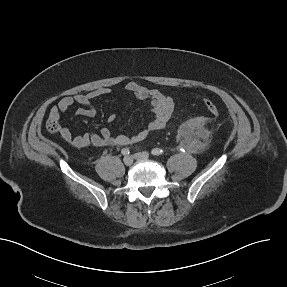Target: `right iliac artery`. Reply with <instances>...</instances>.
<instances>
[{
    "mask_svg": "<svg viewBox=\"0 0 287 287\" xmlns=\"http://www.w3.org/2000/svg\"><path fill=\"white\" fill-rule=\"evenodd\" d=\"M121 153L126 156V155H129V154H130V150H129L128 148H123V149L121 150Z\"/></svg>",
    "mask_w": 287,
    "mask_h": 287,
    "instance_id": "1",
    "label": "right iliac artery"
}]
</instances>
